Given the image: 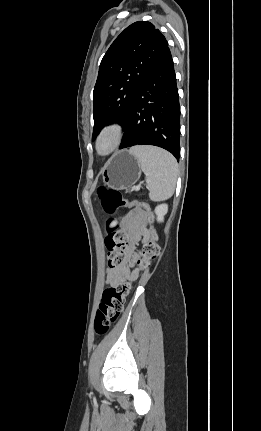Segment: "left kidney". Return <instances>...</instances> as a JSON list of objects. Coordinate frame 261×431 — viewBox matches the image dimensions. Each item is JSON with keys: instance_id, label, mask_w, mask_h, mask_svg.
<instances>
[{"instance_id": "1", "label": "left kidney", "mask_w": 261, "mask_h": 431, "mask_svg": "<svg viewBox=\"0 0 261 431\" xmlns=\"http://www.w3.org/2000/svg\"><path fill=\"white\" fill-rule=\"evenodd\" d=\"M167 211H168V205L167 204H160V205L156 206L155 214L157 216L158 222L164 221V216L166 215Z\"/></svg>"}]
</instances>
